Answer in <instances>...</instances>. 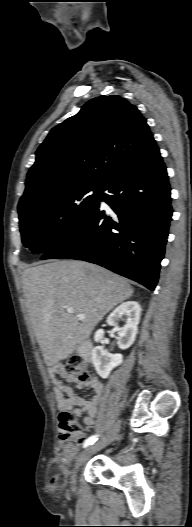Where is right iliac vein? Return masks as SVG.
Wrapping results in <instances>:
<instances>
[{"label": "right iliac vein", "mask_w": 192, "mask_h": 527, "mask_svg": "<svg viewBox=\"0 0 192 527\" xmlns=\"http://www.w3.org/2000/svg\"><path fill=\"white\" fill-rule=\"evenodd\" d=\"M119 431H120V421H118L114 425L109 436L104 437L101 440L94 443L93 445L89 446L79 455V457L77 458L74 470L71 475V483L73 487H75V484H76V473L79 467L82 464H84L93 454H95L99 450L103 449L104 447L112 443L118 436Z\"/></svg>", "instance_id": "right-iliac-vein-1"}]
</instances>
